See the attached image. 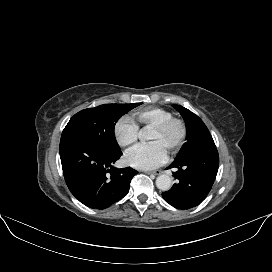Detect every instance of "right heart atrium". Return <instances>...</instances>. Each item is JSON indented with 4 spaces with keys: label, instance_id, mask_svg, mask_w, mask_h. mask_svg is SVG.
<instances>
[{
    "label": "right heart atrium",
    "instance_id": "1",
    "mask_svg": "<svg viewBox=\"0 0 272 272\" xmlns=\"http://www.w3.org/2000/svg\"><path fill=\"white\" fill-rule=\"evenodd\" d=\"M114 136L119 146L131 149L137 144L139 130L131 119L123 117L114 126Z\"/></svg>",
    "mask_w": 272,
    "mask_h": 272
}]
</instances>
